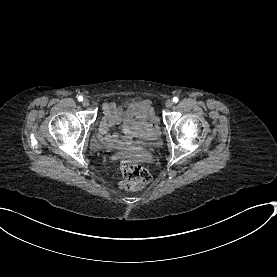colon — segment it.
Wrapping results in <instances>:
<instances>
[{"label":"colon","mask_w":277,"mask_h":277,"mask_svg":"<svg viewBox=\"0 0 277 277\" xmlns=\"http://www.w3.org/2000/svg\"><path fill=\"white\" fill-rule=\"evenodd\" d=\"M123 180L119 183L122 190L132 191L140 188L152 189L157 184V177L147 169L133 163H125L120 168Z\"/></svg>","instance_id":"obj_1"}]
</instances>
